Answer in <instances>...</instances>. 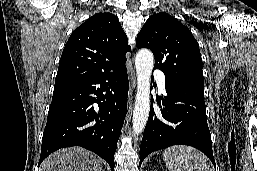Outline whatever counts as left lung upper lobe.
<instances>
[{
	"instance_id": "left-lung-upper-lobe-1",
	"label": "left lung upper lobe",
	"mask_w": 257,
	"mask_h": 171,
	"mask_svg": "<svg viewBox=\"0 0 257 171\" xmlns=\"http://www.w3.org/2000/svg\"><path fill=\"white\" fill-rule=\"evenodd\" d=\"M138 48L150 49L155 68L204 91L202 58L191 31L167 13L152 15L137 35Z\"/></svg>"
}]
</instances>
